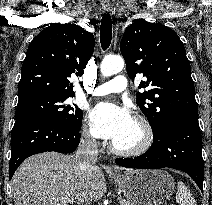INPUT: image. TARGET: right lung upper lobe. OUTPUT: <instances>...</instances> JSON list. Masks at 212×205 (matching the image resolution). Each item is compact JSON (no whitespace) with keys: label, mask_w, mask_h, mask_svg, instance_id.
<instances>
[{"label":"right lung upper lobe","mask_w":212,"mask_h":205,"mask_svg":"<svg viewBox=\"0 0 212 205\" xmlns=\"http://www.w3.org/2000/svg\"><path fill=\"white\" fill-rule=\"evenodd\" d=\"M94 36L76 24H52L30 43L21 70L19 98L37 94L74 96L72 74L82 75Z\"/></svg>","instance_id":"1"}]
</instances>
